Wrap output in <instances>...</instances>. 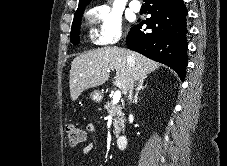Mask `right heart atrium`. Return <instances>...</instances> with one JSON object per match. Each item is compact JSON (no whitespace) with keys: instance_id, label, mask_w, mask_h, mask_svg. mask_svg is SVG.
Listing matches in <instances>:
<instances>
[{"instance_id":"d8ad5b80","label":"right heart atrium","mask_w":227,"mask_h":166,"mask_svg":"<svg viewBox=\"0 0 227 166\" xmlns=\"http://www.w3.org/2000/svg\"><path fill=\"white\" fill-rule=\"evenodd\" d=\"M89 16L95 25L94 38L99 45L117 43L122 35L121 17L106 5H98L90 9Z\"/></svg>"}]
</instances>
